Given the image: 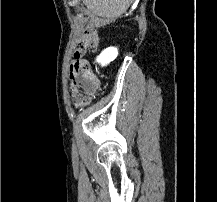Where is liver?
<instances>
[{
  "mask_svg": "<svg viewBox=\"0 0 217 202\" xmlns=\"http://www.w3.org/2000/svg\"><path fill=\"white\" fill-rule=\"evenodd\" d=\"M82 2L92 14L115 20L125 14L133 0H82Z\"/></svg>",
  "mask_w": 217,
  "mask_h": 202,
  "instance_id": "1",
  "label": "liver"
}]
</instances>
